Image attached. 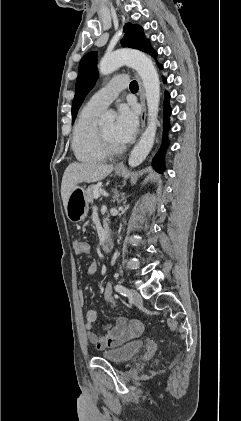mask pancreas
<instances>
[{"instance_id":"cf45deb5","label":"pancreas","mask_w":241,"mask_h":421,"mask_svg":"<svg viewBox=\"0 0 241 421\" xmlns=\"http://www.w3.org/2000/svg\"><path fill=\"white\" fill-rule=\"evenodd\" d=\"M98 185H90L85 191V199L88 203H92L94 199V192L98 191Z\"/></svg>"}]
</instances>
